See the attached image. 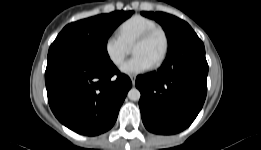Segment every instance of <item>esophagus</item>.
I'll return each mask as SVG.
<instances>
[{"instance_id":"34e87169","label":"esophagus","mask_w":261,"mask_h":150,"mask_svg":"<svg viewBox=\"0 0 261 150\" xmlns=\"http://www.w3.org/2000/svg\"><path fill=\"white\" fill-rule=\"evenodd\" d=\"M130 79H131L132 84H133V86H134V85H135L136 76H135V75H131V76H130Z\"/></svg>"}]
</instances>
